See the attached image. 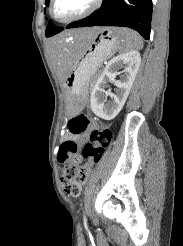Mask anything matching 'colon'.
<instances>
[{"mask_svg": "<svg viewBox=\"0 0 183 246\" xmlns=\"http://www.w3.org/2000/svg\"><path fill=\"white\" fill-rule=\"evenodd\" d=\"M90 124L91 119L85 114H80L71 119L69 129L74 134H82L87 131ZM110 139L111 131L107 126L94 128L90 132V142L82 150L85 163H82V157L77 154L76 142L72 140L62 142L58 159L63 165L61 184L65 194L70 197L80 195L82 184L88 180L94 165L101 160Z\"/></svg>", "mask_w": 183, "mask_h": 246, "instance_id": "1", "label": "colon"}]
</instances>
